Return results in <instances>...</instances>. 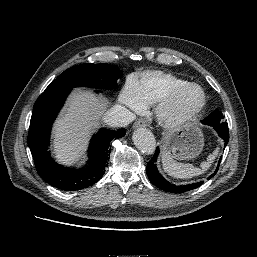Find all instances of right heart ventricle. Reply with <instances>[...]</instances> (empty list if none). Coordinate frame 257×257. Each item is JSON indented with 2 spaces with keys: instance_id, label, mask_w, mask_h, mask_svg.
<instances>
[{
  "instance_id": "obj_1",
  "label": "right heart ventricle",
  "mask_w": 257,
  "mask_h": 257,
  "mask_svg": "<svg viewBox=\"0 0 257 257\" xmlns=\"http://www.w3.org/2000/svg\"><path fill=\"white\" fill-rule=\"evenodd\" d=\"M185 79L163 71H147L136 81L138 95L148 106L161 102L172 90L188 84Z\"/></svg>"
}]
</instances>
